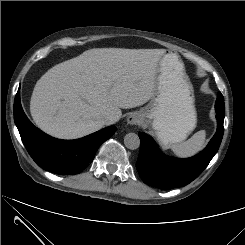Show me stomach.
Segmentation results:
<instances>
[{"label":"stomach","mask_w":245,"mask_h":245,"mask_svg":"<svg viewBox=\"0 0 245 245\" xmlns=\"http://www.w3.org/2000/svg\"><path fill=\"white\" fill-rule=\"evenodd\" d=\"M139 112L164 147L181 143L195 129L197 113L193 87L178 54L166 51L161 57L153 97Z\"/></svg>","instance_id":"obj_1"}]
</instances>
